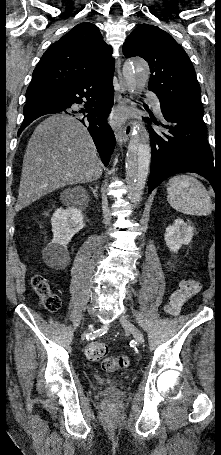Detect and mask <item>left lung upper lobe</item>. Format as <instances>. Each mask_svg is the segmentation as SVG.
<instances>
[{"label": "left lung upper lobe", "mask_w": 221, "mask_h": 455, "mask_svg": "<svg viewBox=\"0 0 221 455\" xmlns=\"http://www.w3.org/2000/svg\"><path fill=\"white\" fill-rule=\"evenodd\" d=\"M125 57L140 56L150 67L148 89L160 104L203 117L200 85L184 49L171 35L157 26L142 24L123 45Z\"/></svg>", "instance_id": "1"}]
</instances>
